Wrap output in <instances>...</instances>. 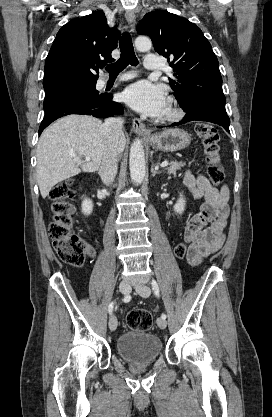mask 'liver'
I'll list each match as a JSON object with an SVG mask.
<instances>
[{
    "label": "liver",
    "instance_id": "liver-1",
    "mask_svg": "<svg viewBox=\"0 0 272 417\" xmlns=\"http://www.w3.org/2000/svg\"><path fill=\"white\" fill-rule=\"evenodd\" d=\"M101 120L86 115H69L57 120L41 135L37 145L36 175L42 198L49 195L57 183L76 176L81 171L96 172L106 146ZM126 144L119 138L118 154ZM72 151L76 157H71ZM82 157H90L84 162Z\"/></svg>",
    "mask_w": 272,
    "mask_h": 417
}]
</instances>
